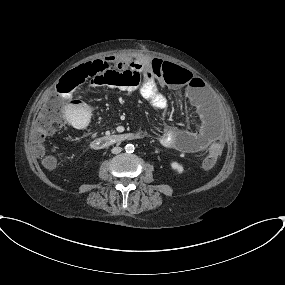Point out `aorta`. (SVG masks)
Segmentation results:
<instances>
[{"mask_svg":"<svg viewBox=\"0 0 285 285\" xmlns=\"http://www.w3.org/2000/svg\"><path fill=\"white\" fill-rule=\"evenodd\" d=\"M134 150H135V147H134L133 144H127V145L125 146V151H126L127 153H132V152H134Z\"/></svg>","mask_w":285,"mask_h":285,"instance_id":"1","label":"aorta"}]
</instances>
